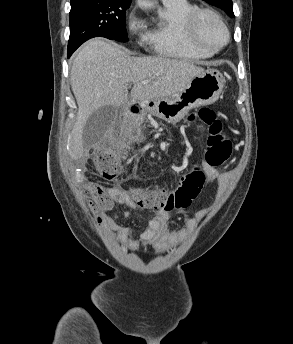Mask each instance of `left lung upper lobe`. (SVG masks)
I'll list each match as a JSON object with an SVG mask.
<instances>
[{
	"label": "left lung upper lobe",
	"instance_id": "5c2ea615",
	"mask_svg": "<svg viewBox=\"0 0 293 344\" xmlns=\"http://www.w3.org/2000/svg\"><path fill=\"white\" fill-rule=\"evenodd\" d=\"M204 1L224 10L228 16L234 17L232 0H204Z\"/></svg>",
	"mask_w": 293,
	"mask_h": 344
}]
</instances>
